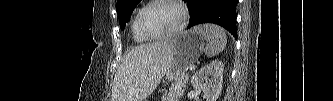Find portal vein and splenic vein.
<instances>
[{"instance_id":"obj_1","label":"portal vein and splenic vein","mask_w":333,"mask_h":101,"mask_svg":"<svg viewBox=\"0 0 333 101\" xmlns=\"http://www.w3.org/2000/svg\"><path fill=\"white\" fill-rule=\"evenodd\" d=\"M193 69H195V65H193V66L190 67V70H193Z\"/></svg>"}]
</instances>
